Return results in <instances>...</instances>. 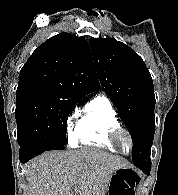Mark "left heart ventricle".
Instances as JSON below:
<instances>
[{"mask_svg": "<svg viewBox=\"0 0 178 195\" xmlns=\"http://www.w3.org/2000/svg\"><path fill=\"white\" fill-rule=\"evenodd\" d=\"M121 147L125 152L130 150V142L126 135L122 136Z\"/></svg>", "mask_w": 178, "mask_h": 195, "instance_id": "b2bd125f", "label": "left heart ventricle"}]
</instances>
